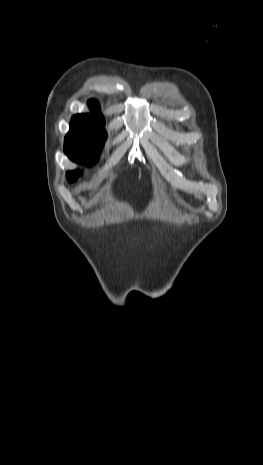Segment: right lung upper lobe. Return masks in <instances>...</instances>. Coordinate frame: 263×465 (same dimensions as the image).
I'll return each instance as SVG.
<instances>
[{"mask_svg": "<svg viewBox=\"0 0 263 465\" xmlns=\"http://www.w3.org/2000/svg\"><path fill=\"white\" fill-rule=\"evenodd\" d=\"M89 107L93 111L91 114H77L72 119L88 120L97 123H104V118L99 111V103L95 100L89 101Z\"/></svg>", "mask_w": 263, "mask_h": 465, "instance_id": "1", "label": "right lung upper lobe"}]
</instances>
